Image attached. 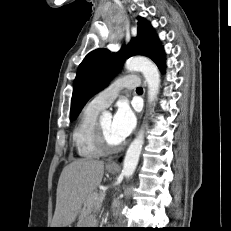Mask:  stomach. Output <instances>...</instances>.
<instances>
[{"mask_svg":"<svg viewBox=\"0 0 231 231\" xmlns=\"http://www.w3.org/2000/svg\"><path fill=\"white\" fill-rule=\"evenodd\" d=\"M107 171L109 173L115 174L118 171V168H111L109 166L106 167ZM89 221L88 220H83L79 223V226L76 228H90V227H86L88 226ZM59 228H72V227H59ZM57 230H68V229H57Z\"/></svg>","mask_w":231,"mask_h":231,"instance_id":"0dacf381","label":"stomach"}]
</instances>
